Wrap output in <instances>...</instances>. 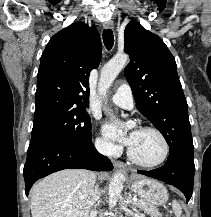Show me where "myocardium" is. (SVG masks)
<instances>
[{"instance_id": "obj_1", "label": "myocardium", "mask_w": 211, "mask_h": 217, "mask_svg": "<svg viewBox=\"0 0 211 217\" xmlns=\"http://www.w3.org/2000/svg\"><path fill=\"white\" fill-rule=\"evenodd\" d=\"M139 130L152 131L160 137V139L162 140L163 146H164L163 155L159 160H157L155 162L146 163V162H142L139 159H137L134 156V154L132 153V151L130 150V148H128L127 155H128L129 160L132 163H134L140 167H144V168H155V167L162 165L167 160V158L169 156V152H170V147H169V143H168L166 136L164 135V133L160 129H158L154 126H142V127H140Z\"/></svg>"}]
</instances>
